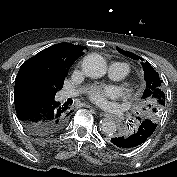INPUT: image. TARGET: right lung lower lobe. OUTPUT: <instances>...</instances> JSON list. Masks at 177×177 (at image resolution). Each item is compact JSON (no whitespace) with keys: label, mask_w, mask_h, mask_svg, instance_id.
Returning a JSON list of instances; mask_svg holds the SVG:
<instances>
[{"label":"right lung lower lobe","mask_w":177,"mask_h":177,"mask_svg":"<svg viewBox=\"0 0 177 177\" xmlns=\"http://www.w3.org/2000/svg\"><path fill=\"white\" fill-rule=\"evenodd\" d=\"M55 95L38 92L28 87L14 89L16 113L32 134L45 136L56 133L69 119L70 107L55 101Z\"/></svg>","instance_id":"98d812e1"}]
</instances>
